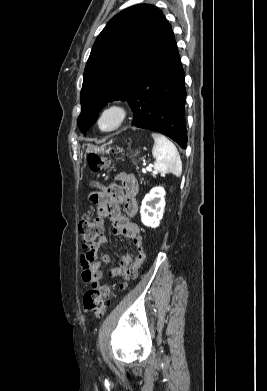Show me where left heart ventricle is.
Listing matches in <instances>:
<instances>
[{"label":"left heart ventricle","mask_w":267,"mask_h":391,"mask_svg":"<svg viewBox=\"0 0 267 391\" xmlns=\"http://www.w3.org/2000/svg\"><path fill=\"white\" fill-rule=\"evenodd\" d=\"M117 122V114L114 112H108L105 114L101 121V126L104 129L112 128Z\"/></svg>","instance_id":"b2bd125f"}]
</instances>
